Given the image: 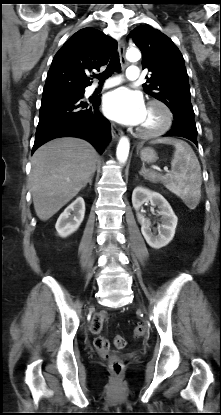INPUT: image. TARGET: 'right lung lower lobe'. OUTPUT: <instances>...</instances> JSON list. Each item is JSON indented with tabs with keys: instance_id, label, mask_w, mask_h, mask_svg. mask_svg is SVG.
Returning <instances> with one entry per match:
<instances>
[{
	"instance_id": "1",
	"label": "right lung lower lobe",
	"mask_w": 221,
	"mask_h": 415,
	"mask_svg": "<svg viewBox=\"0 0 221 415\" xmlns=\"http://www.w3.org/2000/svg\"><path fill=\"white\" fill-rule=\"evenodd\" d=\"M83 95L43 94L32 154L47 141L66 136L85 139L99 153L104 151L111 138L110 123L98 111L100 98L85 101Z\"/></svg>"
}]
</instances>
